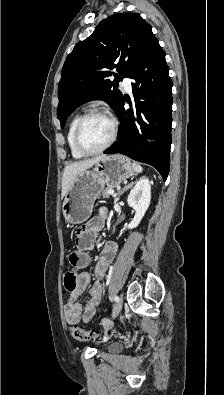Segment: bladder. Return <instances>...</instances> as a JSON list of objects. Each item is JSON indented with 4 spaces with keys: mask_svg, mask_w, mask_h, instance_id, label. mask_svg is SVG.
<instances>
[{
    "mask_svg": "<svg viewBox=\"0 0 224 395\" xmlns=\"http://www.w3.org/2000/svg\"><path fill=\"white\" fill-rule=\"evenodd\" d=\"M106 348L110 352H119L122 349V345L119 343H110Z\"/></svg>",
    "mask_w": 224,
    "mask_h": 395,
    "instance_id": "1",
    "label": "bladder"
}]
</instances>
